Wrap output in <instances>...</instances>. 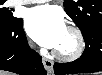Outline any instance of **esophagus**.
<instances>
[{
	"mask_svg": "<svg viewBox=\"0 0 102 75\" xmlns=\"http://www.w3.org/2000/svg\"><path fill=\"white\" fill-rule=\"evenodd\" d=\"M43 65L45 67V69L47 70V72L49 74H53L54 70H53V65H54V62L47 58V57H43Z\"/></svg>",
	"mask_w": 102,
	"mask_h": 75,
	"instance_id": "esophagus-1",
	"label": "esophagus"
}]
</instances>
